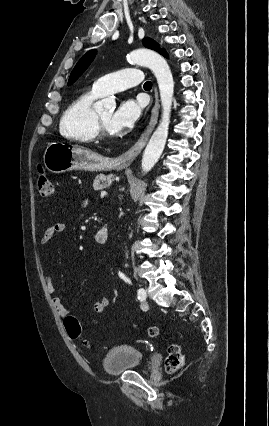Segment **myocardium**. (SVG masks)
Listing matches in <instances>:
<instances>
[{"label": "myocardium", "instance_id": "1", "mask_svg": "<svg viewBox=\"0 0 269 426\" xmlns=\"http://www.w3.org/2000/svg\"><path fill=\"white\" fill-rule=\"evenodd\" d=\"M95 125H96V128H97L99 137L109 139V138H112V137L115 136L113 133H111L106 128V126L103 124V122L101 121V119H100V117L97 113L95 114Z\"/></svg>", "mask_w": 269, "mask_h": 426}]
</instances>
